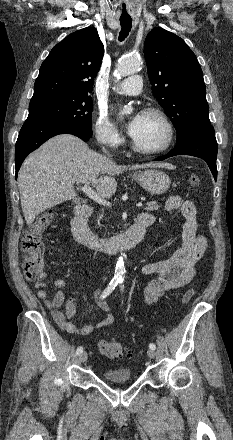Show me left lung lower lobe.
Masks as SVG:
<instances>
[{
  "label": "left lung lower lobe",
  "instance_id": "0a47b994",
  "mask_svg": "<svg viewBox=\"0 0 233 440\" xmlns=\"http://www.w3.org/2000/svg\"><path fill=\"white\" fill-rule=\"evenodd\" d=\"M175 155H191L205 160L215 180L217 179V141L211 125L194 130L183 140L176 142L175 148L164 157L158 158L157 161Z\"/></svg>",
  "mask_w": 233,
  "mask_h": 440
}]
</instances>
